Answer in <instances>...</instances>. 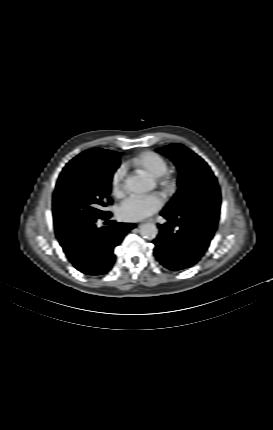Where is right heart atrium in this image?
Instances as JSON below:
<instances>
[{
    "instance_id": "obj_1",
    "label": "right heart atrium",
    "mask_w": 273,
    "mask_h": 430,
    "mask_svg": "<svg viewBox=\"0 0 273 430\" xmlns=\"http://www.w3.org/2000/svg\"><path fill=\"white\" fill-rule=\"evenodd\" d=\"M125 174V167L119 166L111 176V190L115 196H121L125 192Z\"/></svg>"
}]
</instances>
